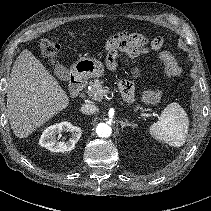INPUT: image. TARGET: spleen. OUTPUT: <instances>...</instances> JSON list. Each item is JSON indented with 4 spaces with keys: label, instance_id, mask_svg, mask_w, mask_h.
Instances as JSON below:
<instances>
[{
    "label": "spleen",
    "instance_id": "3e777b00",
    "mask_svg": "<svg viewBox=\"0 0 211 211\" xmlns=\"http://www.w3.org/2000/svg\"><path fill=\"white\" fill-rule=\"evenodd\" d=\"M189 121L184 109L176 102L165 107L157 122L149 127L150 135L173 147L182 146L187 138Z\"/></svg>",
    "mask_w": 211,
    "mask_h": 211
}]
</instances>
